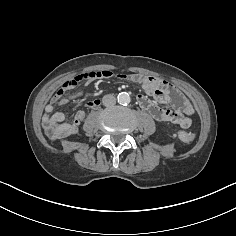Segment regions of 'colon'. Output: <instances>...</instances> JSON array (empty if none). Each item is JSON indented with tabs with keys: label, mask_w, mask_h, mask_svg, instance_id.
Here are the masks:
<instances>
[{
	"label": "colon",
	"mask_w": 236,
	"mask_h": 236,
	"mask_svg": "<svg viewBox=\"0 0 236 236\" xmlns=\"http://www.w3.org/2000/svg\"><path fill=\"white\" fill-rule=\"evenodd\" d=\"M97 75L100 77H112V73L108 70H103V71L97 73ZM124 77L130 81L134 80L133 74L124 75ZM179 138L181 141H183L185 143H189L194 140L195 134L191 133V132L182 131L179 133Z\"/></svg>",
	"instance_id": "colon-1"
}]
</instances>
